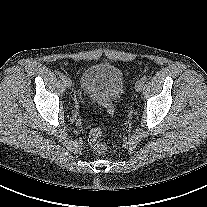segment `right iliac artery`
<instances>
[{
  "label": "right iliac artery",
  "instance_id": "82829eb1",
  "mask_svg": "<svg viewBox=\"0 0 207 207\" xmlns=\"http://www.w3.org/2000/svg\"><path fill=\"white\" fill-rule=\"evenodd\" d=\"M65 77V75L63 73L59 74V78H61L63 80V78Z\"/></svg>",
  "mask_w": 207,
  "mask_h": 207
}]
</instances>
